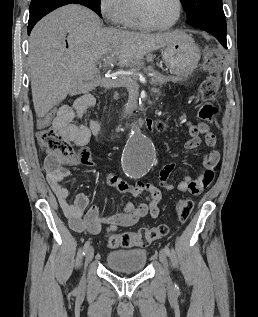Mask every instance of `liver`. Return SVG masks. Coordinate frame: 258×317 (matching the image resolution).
Wrapping results in <instances>:
<instances>
[{
  "mask_svg": "<svg viewBox=\"0 0 258 317\" xmlns=\"http://www.w3.org/2000/svg\"><path fill=\"white\" fill-rule=\"evenodd\" d=\"M100 24V16L81 4L61 6L35 24L28 64L36 116H45L67 94H78L85 80L98 78L96 64L102 56L116 54L119 66H133L147 52L173 44L185 34L184 30L146 34Z\"/></svg>",
  "mask_w": 258,
  "mask_h": 317,
  "instance_id": "obj_1",
  "label": "liver"
}]
</instances>
